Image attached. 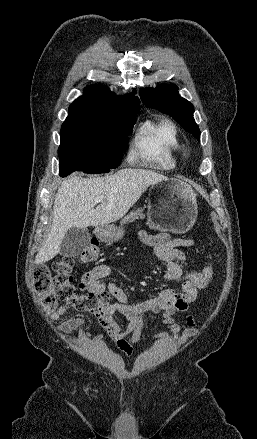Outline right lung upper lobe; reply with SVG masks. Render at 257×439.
Segmentation results:
<instances>
[{"label": "right lung upper lobe", "instance_id": "1", "mask_svg": "<svg viewBox=\"0 0 257 439\" xmlns=\"http://www.w3.org/2000/svg\"><path fill=\"white\" fill-rule=\"evenodd\" d=\"M133 93L116 96L104 85H91L84 89V95L69 107V116H95L118 119L129 113L139 112V99Z\"/></svg>", "mask_w": 257, "mask_h": 439}]
</instances>
